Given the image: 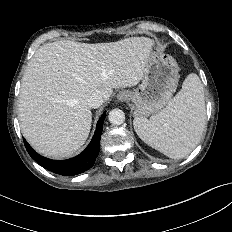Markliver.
Returning a JSON list of instances; mask_svg holds the SVG:
<instances>
[{"mask_svg": "<svg viewBox=\"0 0 232 232\" xmlns=\"http://www.w3.org/2000/svg\"><path fill=\"white\" fill-rule=\"evenodd\" d=\"M152 47L147 37L41 46L28 63L19 95L20 126L30 145L57 159L80 149L92 123L88 98L96 93L106 101L113 89L137 85Z\"/></svg>", "mask_w": 232, "mask_h": 232, "instance_id": "1", "label": "liver"}]
</instances>
